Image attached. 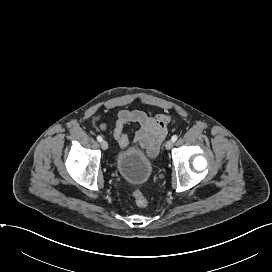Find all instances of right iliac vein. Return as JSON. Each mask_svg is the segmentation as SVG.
I'll return each instance as SVG.
<instances>
[{"mask_svg": "<svg viewBox=\"0 0 272 272\" xmlns=\"http://www.w3.org/2000/svg\"><path fill=\"white\" fill-rule=\"evenodd\" d=\"M100 145H101V148H102L103 150H107V148H108V143H107V141H105V140L101 141Z\"/></svg>", "mask_w": 272, "mask_h": 272, "instance_id": "right-iliac-vein-1", "label": "right iliac vein"}]
</instances>
